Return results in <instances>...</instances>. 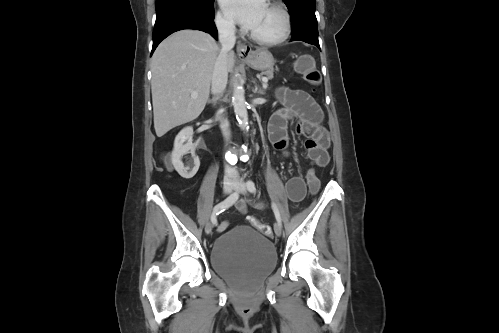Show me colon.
Returning a JSON list of instances; mask_svg holds the SVG:
<instances>
[{"label": "colon", "instance_id": "5ec220e1", "mask_svg": "<svg viewBox=\"0 0 499 333\" xmlns=\"http://www.w3.org/2000/svg\"><path fill=\"white\" fill-rule=\"evenodd\" d=\"M296 70L301 73L305 80L313 85V86H318L321 83V74L320 72L316 69L314 61L311 57L304 56L298 59L296 62ZM166 164L168 167H170V161L169 159H166ZM306 183L308 186L309 191L312 194H315L318 192L320 188V181L319 178L317 177V173L314 167H310L307 170L306 173ZM249 222L257 229L259 230L262 234L266 236H270L272 231L271 228L259 220H257L254 217H249L248 218Z\"/></svg>", "mask_w": 499, "mask_h": 333}]
</instances>
